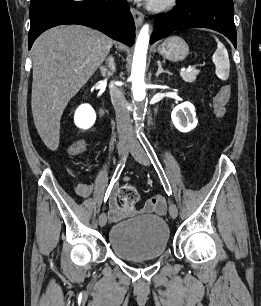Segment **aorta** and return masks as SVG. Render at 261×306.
I'll return each instance as SVG.
<instances>
[{
    "instance_id": "1",
    "label": "aorta",
    "mask_w": 261,
    "mask_h": 306,
    "mask_svg": "<svg viewBox=\"0 0 261 306\" xmlns=\"http://www.w3.org/2000/svg\"><path fill=\"white\" fill-rule=\"evenodd\" d=\"M149 25H144L137 37L132 62L131 80L132 91L135 102L138 105V112L141 113V106L146 97V85L144 82L146 55L149 44Z\"/></svg>"
}]
</instances>
